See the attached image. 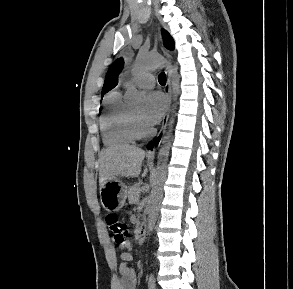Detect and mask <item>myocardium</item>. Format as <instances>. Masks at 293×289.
<instances>
[{
	"mask_svg": "<svg viewBox=\"0 0 293 289\" xmlns=\"http://www.w3.org/2000/svg\"><path fill=\"white\" fill-rule=\"evenodd\" d=\"M131 128L135 139H145L153 134V130L142 124L132 113H131Z\"/></svg>",
	"mask_w": 293,
	"mask_h": 289,
	"instance_id": "myocardium-1",
	"label": "myocardium"
}]
</instances>
